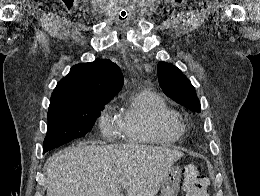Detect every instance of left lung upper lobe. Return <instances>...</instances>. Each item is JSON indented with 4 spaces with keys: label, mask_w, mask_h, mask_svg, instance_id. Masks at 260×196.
Here are the masks:
<instances>
[{
    "label": "left lung upper lobe",
    "mask_w": 260,
    "mask_h": 196,
    "mask_svg": "<svg viewBox=\"0 0 260 196\" xmlns=\"http://www.w3.org/2000/svg\"><path fill=\"white\" fill-rule=\"evenodd\" d=\"M157 71L160 86L168 97L194 112H201L195 88L177 67L159 62Z\"/></svg>",
    "instance_id": "obj_1"
}]
</instances>
